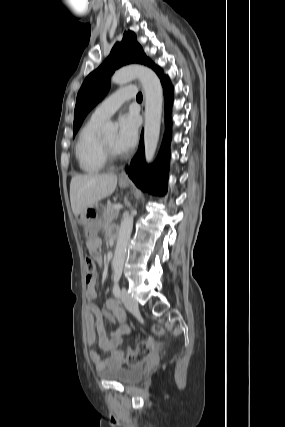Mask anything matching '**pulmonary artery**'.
Here are the masks:
<instances>
[{"label":"pulmonary artery","instance_id":"obj_1","mask_svg":"<svg viewBox=\"0 0 285 427\" xmlns=\"http://www.w3.org/2000/svg\"><path fill=\"white\" fill-rule=\"evenodd\" d=\"M135 95L136 88L133 85H128L115 91L96 107L92 113V117L102 121L108 119L125 101L135 97Z\"/></svg>","mask_w":285,"mask_h":427}]
</instances>
